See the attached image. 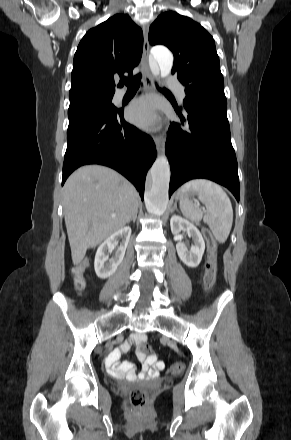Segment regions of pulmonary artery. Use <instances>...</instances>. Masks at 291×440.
<instances>
[{"label":"pulmonary artery","instance_id":"obj_1","mask_svg":"<svg viewBox=\"0 0 291 440\" xmlns=\"http://www.w3.org/2000/svg\"><path fill=\"white\" fill-rule=\"evenodd\" d=\"M169 85L175 91L180 100H183L185 98L186 95L184 87L179 82L175 81L174 78H169ZM123 96L124 90H120L117 93V99L120 100Z\"/></svg>","mask_w":291,"mask_h":440}]
</instances>
